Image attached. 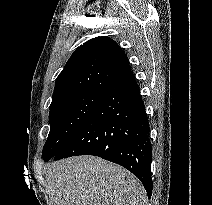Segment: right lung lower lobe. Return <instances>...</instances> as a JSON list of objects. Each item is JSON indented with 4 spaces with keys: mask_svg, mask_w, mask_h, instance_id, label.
<instances>
[{
    "mask_svg": "<svg viewBox=\"0 0 212 205\" xmlns=\"http://www.w3.org/2000/svg\"><path fill=\"white\" fill-rule=\"evenodd\" d=\"M149 132L140 89L133 72L129 71L103 91L94 111L52 159L94 155L117 163L139 178L150 198Z\"/></svg>",
    "mask_w": 212,
    "mask_h": 205,
    "instance_id": "right-lung-lower-lobe-1",
    "label": "right lung lower lobe"
}]
</instances>
